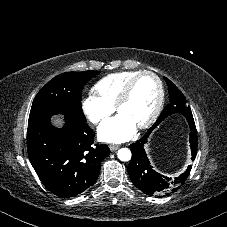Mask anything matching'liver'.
<instances>
[{
	"mask_svg": "<svg viewBox=\"0 0 227 227\" xmlns=\"http://www.w3.org/2000/svg\"><path fill=\"white\" fill-rule=\"evenodd\" d=\"M53 119L56 121H60L63 119V116H54Z\"/></svg>",
	"mask_w": 227,
	"mask_h": 227,
	"instance_id": "obj_1",
	"label": "liver"
}]
</instances>
